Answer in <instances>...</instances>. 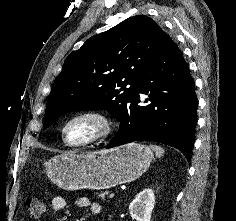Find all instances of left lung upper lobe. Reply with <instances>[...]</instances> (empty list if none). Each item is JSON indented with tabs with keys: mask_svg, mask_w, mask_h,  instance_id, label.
Segmentation results:
<instances>
[{
	"mask_svg": "<svg viewBox=\"0 0 236 221\" xmlns=\"http://www.w3.org/2000/svg\"><path fill=\"white\" fill-rule=\"evenodd\" d=\"M166 36L153 19L137 15L89 38L70 53L56 77L43 128L76 110H108L120 121L137 79Z\"/></svg>",
	"mask_w": 236,
	"mask_h": 221,
	"instance_id": "obj_1",
	"label": "left lung upper lobe"
}]
</instances>
